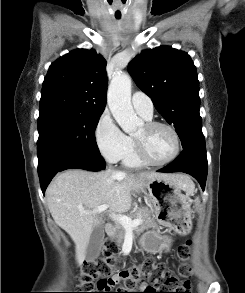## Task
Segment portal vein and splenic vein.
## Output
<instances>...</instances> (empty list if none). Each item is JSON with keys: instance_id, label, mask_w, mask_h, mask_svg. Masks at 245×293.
I'll list each match as a JSON object with an SVG mask.
<instances>
[{"instance_id": "portal-vein-and-splenic-vein-1", "label": "portal vein and splenic vein", "mask_w": 245, "mask_h": 293, "mask_svg": "<svg viewBox=\"0 0 245 293\" xmlns=\"http://www.w3.org/2000/svg\"><path fill=\"white\" fill-rule=\"evenodd\" d=\"M108 208V205L104 204L96 209H94L92 212H86V211H81L83 214H91V213H102ZM110 217L113 218L115 221L120 223L125 230H133L135 227L139 226L142 224L141 219H134L132 220L130 217L122 215V214H114L111 213Z\"/></svg>"}]
</instances>
